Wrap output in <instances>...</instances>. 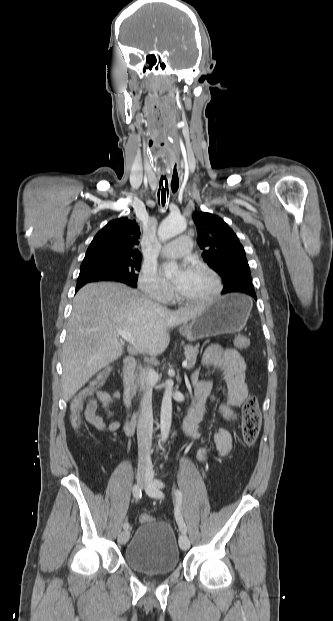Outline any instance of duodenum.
<instances>
[{
	"instance_id": "obj_1",
	"label": "duodenum",
	"mask_w": 333,
	"mask_h": 621,
	"mask_svg": "<svg viewBox=\"0 0 333 621\" xmlns=\"http://www.w3.org/2000/svg\"><path fill=\"white\" fill-rule=\"evenodd\" d=\"M136 367V361L132 357H127L123 361V402L127 411L126 418L123 423V429L126 434L133 435L136 430V420L130 413L131 399L133 396V374ZM198 421L196 415H190L185 419V423L194 425Z\"/></svg>"
}]
</instances>
